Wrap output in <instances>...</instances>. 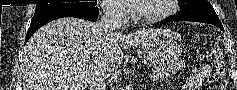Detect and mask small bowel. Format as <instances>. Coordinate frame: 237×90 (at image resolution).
Returning <instances> with one entry per match:
<instances>
[{"label":"small bowel","instance_id":"obj_1","mask_svg":"<svg viewBox=\"0 0 237 90\" xmlns=\"http://www.w3.org/2000/svg\"><path fill=\"white\" fill-rule=\"evenodd\" d=\"M211 70L210 67H202L196 74L191 76L185 86V90H197L201 85L202 81L210 76Z\"/></svg>","mask_w":237,"mask_h":90}]
</instances>
